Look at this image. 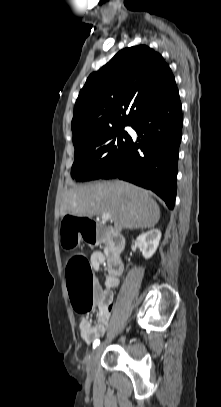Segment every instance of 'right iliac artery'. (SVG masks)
<instances>
[{
  "instance_id": "right-iliac-artery-1",
  "label": "right iliac artery",
  "mask_w": 221,
  "mask_h": 407,
  "mask_svg": "<svg viewBox=\"0 0 221 407\" xmlns=\"http://www.w3.org/2000/svg\"><path fill=\"white\" fill-rule=\"evenodd\" d=\"M99 344H100V340H99V339L94 340V342H93V348H96Z\"/></svg>"
}]
</instances>
